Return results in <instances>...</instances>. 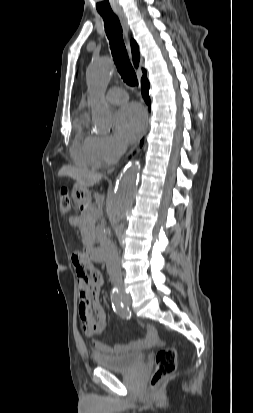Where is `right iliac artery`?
<instances>
[{"label":"right iliac artery","instance_id":"1","mask_svg":"<svg viewBox=\"0 0 253 413\" xmlns=\"http://www.w3.org/2000/svg\"><path fill=\"white\" fill-rule=\"evenodd\" d=\"M111 302L113 310L122 318H129L131 313L129 309L124 306L121 301V296L117 289H114L111 293Z\"/></svg>","mask_w":253,"mask_h":413}]
</instances>
